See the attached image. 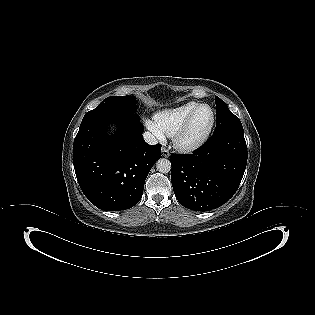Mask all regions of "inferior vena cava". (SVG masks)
I'll return each instance as SVG.
<instances>
[{
    "instance_id": "obj_1",
    "label": "inferior vena cava",
    "mask_w": 315,
    "mask_h": 315,
    "mask_svg": "<svg viewBox=\"0 0 315 315\" xmlns=\"http://www.w3.org/2000/svg\"><path fill=\"white\" fill-rule=\"evenodd\" d=\"M144 136V140L146 141V143H148L149 145H156L158 143V140L155 138V136L153 134H151L150 132H145L143 134Z\"/></svg>"
}]
</instances>
